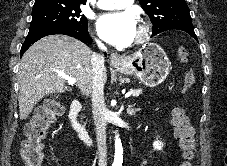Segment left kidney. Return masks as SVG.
I'll return each instance as SVG.
<instances>
[{"mask_svg":"<svg viewBox=\"0 0 227 166\" xmlns=\"http://www.w3.org/2000/svg\"><path fill=\"white\" fill-rule=\"evenodd\" d=\"M153 147L155 150H161L163 147V143L157 140L153 143Z\"/></svg>","mask_w":227,"mask_h":166,"instance_id":"1","label":"left kidney"}]
</instances>
